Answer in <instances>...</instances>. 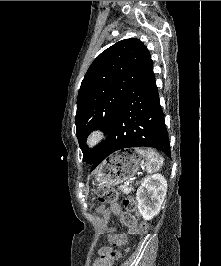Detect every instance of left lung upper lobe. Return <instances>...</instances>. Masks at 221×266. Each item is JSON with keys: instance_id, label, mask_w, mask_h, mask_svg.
I'll use <instances>...</instances> for the list:
<instances>
[{"instance_id": "left-lung-upper-lobe-1", "label": "left lung upper lobe", "mask_w": 221, "mask_h": 266, "mask_svg": "<svg viewBox=\"0 0 221 266\" xmlns=\"http://www.w3.org/2000/svg\"><path fill=\"white\" fill-rule=\"evenodd\" d=\"M153 73L147 47L138 39H124L103 51L91 64L81 83L75 117L76 136L84 161H94L102 142L89 150L86 138L93 130L105 134L130 91Z\"/></svg>"}]
</instances>
